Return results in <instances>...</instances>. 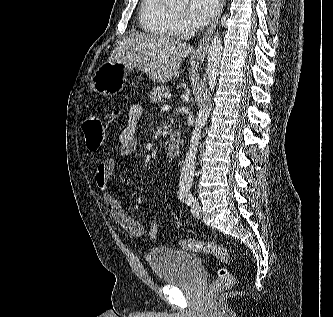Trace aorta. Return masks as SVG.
Masks as SVG:
<instances>
[{"mask_svg":"<svg viewBox=\"0 0 333 317\" xmlns=\"http://www.w3.org/2000/svg\"><path fill=\"white\" fill-rule=\"evenodd\" d=\"M170 5H184L188 0H166ZM222 40L217 32L215 36H213L209 47H208V55H207V78H208V86H209V95L207 99L206 105L200 109L196 115L195 127L193 129L190 144L188 147V152L186 153V157L182 166L181 174H180V185H190L193 181L195 175V167H196V156L199 146V140L201 138V131L206 125L211 108V93L214 91V88L217 83V77L219 74L221 56H222Z\"/></svg>","mask_w":333,"mask_h":317,"instance_id":"1","label":"aorta"}]
</instances>
